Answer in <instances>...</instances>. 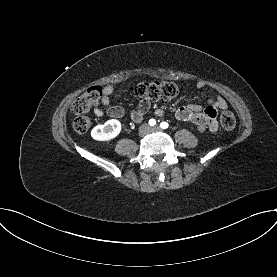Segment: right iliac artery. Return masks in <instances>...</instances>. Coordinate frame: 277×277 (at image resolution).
<instances>
[{
    "label": "right iliac artery",
    "mask_w": 277,
    "mask_h": 277,
    "mask_svg": "<svg viewBox=\"0 0 277 277\" xmlns=\"http://www.w3.org/2000/svg\"><path fill=\"white\" fill-rule=\"evenodd\" d=\"M149 124H150L151 126H154V125L156 124V121H155L154 119H150V120H149Z\"/></svg>",
    "instance_id": "82829eb1"
}]
</instances>
